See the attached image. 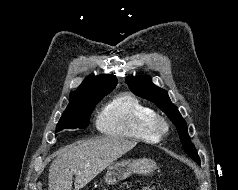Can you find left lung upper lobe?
Here are the masks:
<instances>
[{"instance_id": "left-lung-upper-lobe-1", "label": "left lung upper lobe", "mask_w": 238, "mask_h": 190, "mask_svg": "<svg viewBox=\"0 0 238 190\" xmlns=\"http://www.w3.org/2000/svg\"><path fill=\"white\" fill-rule=\"evenodd\" d=\"M126 81L134 94L153 102L166 113L176 125L185 152L200 164V158L188 134L187 124L177 107L171 103L167 91L154 85L148 76L127 77Z\"/></svg>"}]
</instances>
